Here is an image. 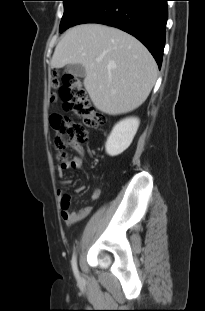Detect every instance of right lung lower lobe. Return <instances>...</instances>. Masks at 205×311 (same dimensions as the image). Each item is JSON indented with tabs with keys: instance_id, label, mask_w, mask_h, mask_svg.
Here are the masks:
<instances>
[{
	"instance_id": "right-lung-lower-lobe-1",
	"label": "right lung lower lobe",
	"mask_w": 205,
	"mask_h": 311,
	"mask_svg": "<svg viewBox=\"0 0 205 311\" xmlns=\"http://www.w3.org/2000/svg\"><path fill=\"white\" fill-rule=\"evenodd\" d=\"M168 0H91L74 22L100 23L119 28L140 40L159 68L165 46Z\"/></svg>"
}]
</instances>
